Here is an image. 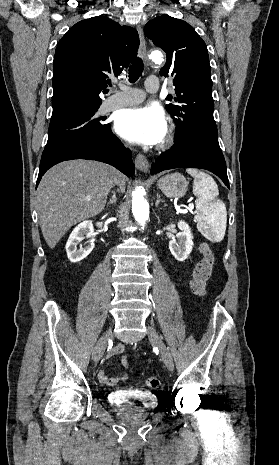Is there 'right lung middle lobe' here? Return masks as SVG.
<instances>
[{"instance_id": "right-lung-middle-lobe-1", "label": "right lung middle lobe", "mask_w": 279, "mask_h": 465, "mask_svg": "<svg viewBox=\"0 0 279 465\" xmlns=\"http://www.w3.org/2000/svg\"><path fill=\"white\" fill-rule=\"evenodd\" d=\"M98 108L77 115L58 124L50 125L48 141L42 158L50 155L69 142L81 137H97L111 131L110 124L102 123L95 113Z\"/></svg>"}]
</instances>
